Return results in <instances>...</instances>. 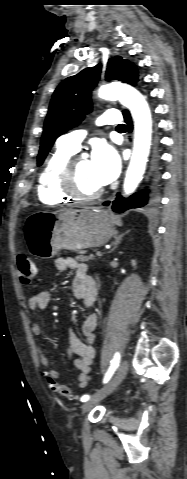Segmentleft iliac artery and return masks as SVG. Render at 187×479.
I'll return each instance as SVG.
<instances>
[{"label": "left iliac artery", "mask_w": 187, "mask_h": 479, "mask_svg": "<svg viewBox=\"0 0 187 479\" xmlns=\"http://www.w3.org/2000/svg\"><path fill=\"white\" fill-rule=\"evenodd\" d=\"M119 362H120V354L118 352H116L115 355H114L113 360L111 361V365H110L108 371L106 372V374L104 376L103 383H107L111 379V377L114 374V371L116 370ZM89 398H90L89 395H83L80 400L82 402H86V401L89 400Z\"/></svg>", "instance_id": "44dca946"}]
</instances>
